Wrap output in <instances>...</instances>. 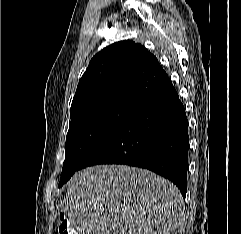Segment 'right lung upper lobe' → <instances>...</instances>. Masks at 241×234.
Returning a JSON list of instances; mask_svg holds the SVG:
<instances>
[{
  "instance_id": "right-lung-upper-lobe-1",
  "label": "right lung upper lobe",
  "mask_w": 241,
  "mask_h": 234,
  "mask_svg": "<svg viewBox=\"0 0 241 234\" xmlns=\"http://www.w3.org/2000/svg\"><path fill=\"white\" fill-rule=\"evenodd\" d=\"M167 80L157 58L145 47L120 41L92 58L78 83L71 112L109 101L137 104Z\"/></svg>"
}]
</instances>
